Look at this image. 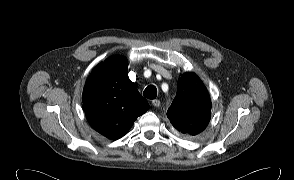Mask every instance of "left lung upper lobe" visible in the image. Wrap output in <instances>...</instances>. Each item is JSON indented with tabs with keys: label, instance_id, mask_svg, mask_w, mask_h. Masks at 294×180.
<instances>
[{
	"label": "left lung upper lobe",
	"instance_id": "obj_1",
	"mask_svg": "<svg viewBox=\"0 0 294 180\" xmlns=\"http://www.w3.org/2000/svg\"><path fill=\"white\" fill-rule=\"evenodd\" d=\"M171 124L181 133L196 135L211 117V102L206 87L194 74L186 72L178 81V91L167 111Z\"/></svg>",
	"mask_w": 294,
	"mask_h": 180
}]
</instances>
